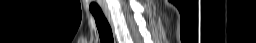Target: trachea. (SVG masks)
Listing matches in <instances>:
<instances>
[{
    "label": "trachea",
    "instance_id": "obj_1",
    "mask_svg": "<svg viewBox=\"0 0 256 43\" xmlns=\"http://www.w3.org/2000/svg\"><path fill=\"white\" fill-rule=\"evenodd\" d=\"M90 12L92 13L95 19L101 43H114L111 26L102 10L90 9Z\"/></svg>",
    "mask_w": 256,
    "mask_h": 43
}]
</instances>
